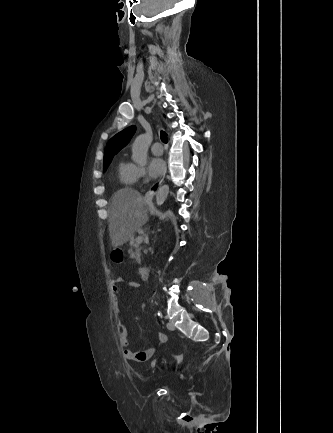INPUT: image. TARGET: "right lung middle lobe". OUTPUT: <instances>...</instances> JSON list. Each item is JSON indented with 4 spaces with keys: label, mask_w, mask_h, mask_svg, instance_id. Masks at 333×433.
Segmentation results:
<instances>
[{
    "label": "right lung middle lobe",
    "mask_w": 333,
    "mask_h": 433,
    "mask_svg": "<svg viewBox=\"0 0 333 433\" xmlns=\"http://www.w3.org/2000/svg\"><path fill=\"white\" fill-rule=\"evenodd\" d=\"M108 166H109V164H105V165H103V169H104V171L107 169Z\"/></svg>",
    "instance_id": "1"
}]
</instances>
